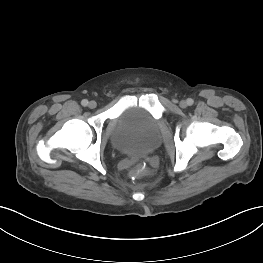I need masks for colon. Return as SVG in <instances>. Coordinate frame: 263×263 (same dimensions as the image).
Listing matches in <instances>:
<instances>
[{"instance_id":"1","label":"colon","mask_w":263,"mask_h":263,"mask_svg":"<svg viewBox=\"0 0 263 263\" xmlns=\"http://www.w3.org/2000/svg\"><path fill=\"white\" fill-rule=\"evenodd\" d=\"M131 173L136 177H144L148 174V170L144 165L138 164L132 169Z\"/></svg>"}]
</instances>
